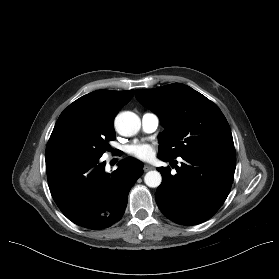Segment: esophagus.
<instances>
[{
	"label": "esophagus",
	"mask_w": 279,
	"mask_h": 279,
	"mask_svg": "<svg viewBox=\"0 0 279 279\" xmlns=\"http://www.w3.org/2000/svg\"><path fill=\"white\" fill-rule=\"evenodd\" d=\"M153 169V167L152 166H150V165H144V167H143V170H144V172H148V171H150V170H152Z\"/></svg>",
	"instance_id": "obj_1"
}]
</instances>
